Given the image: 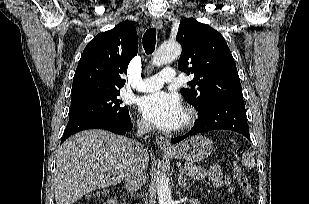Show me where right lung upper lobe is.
I'll return each instance as SVG.
<instances>
[{
    "instance_id": "1",
    "label": "right lung upper lobe",
    "mask_w": 309,
    "mask_h": 204,
    "mask_svg": "<svg viewBox=\"0 0 309 204\" xmlns=\"http://www.w3.org/2000/svg\"><path fill=\"white\" fill-rule=\"evenodd\" d=\"M138 39L134 23L124 21L99 33L85 47L71 90V104L119 92L128 64L137 54Z\"/></svg>"
}]
</instances>
